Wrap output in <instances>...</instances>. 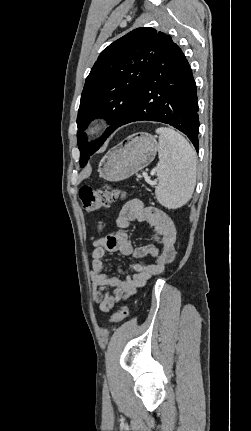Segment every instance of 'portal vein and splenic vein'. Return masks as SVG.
Wrapping results in <instances>:
<instances>
[{
    "label": "portal vein and splenic vein",
    "instance_id": "18ae733b",
    "mask_svg": "<svg viewBox=\"0 0 251 431\" xmlns=\"http://www.w3.org/2000/svg\"><path fill=\"white\" fill-rule=\"evenodd\" d=\"M155 172H156V169L152 170L151 175L153 176L155 174ZM144 177L147 179L146 175Z\"/></svg>",
    "mask_w": 251,
    "mask_h": 431
}]
</instances>
